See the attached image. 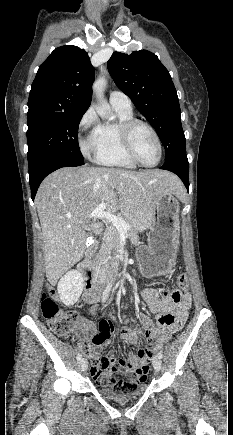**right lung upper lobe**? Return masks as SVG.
Masks as SVG:
<instances>
[{"label":"right lung upper lobe","instance_id":"right-lung-upper-lobe-1","mask_svg":"<svg viewBox=\"0 0 233 435\" xmlns=\"http://www.w3.org/2000/svg\"><path fill=\"white\" fill-rule=\"evenodd\" d=\"M94 68L77 46L56 48L40 65L28 100V117L43 113H85L90 106Z\"/></svg>","mask_w":233,"mask_h":435}]
</instances>
